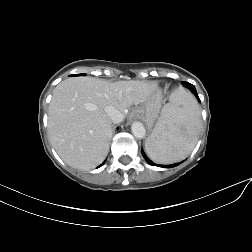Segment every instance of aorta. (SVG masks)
I'll return each instance as SVG.
<instances>
[{"mask_svg": "<svg viewBox=\"0 0 252 252\" xmlns=\"http://www.w3.org/2000/svg\"><path fill=\"white\" fill-rule=\"evenodd\" d=\"M131 131L138 139H142L146 134V130L141 122H134L131 126Z\"/></svg>", "mask_w": 252, "mask_h": 252, "instance_id": "762f6f07", "label": "aorta"}]
</instances>
